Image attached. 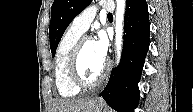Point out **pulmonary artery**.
<instances>
[{
    "label": "pulmonary artery",
    "mask_w": 193,
    "mask_h": 112,
    "mask_svg": "<svg viewBox=\"0 0 193 112\" xmlns=\"http://www.w3.org/2000/svg\"><path fill=\"white\" fill-rule=\"evenodd\" d=\"M100 6L108 12L114 10V5L110 1H102L99 5H91L73 19L70 27L81 34L84 33L94 20Z\"/></svg>",
    "instance_id": "e3ab8cb5"
}]
</instances>
